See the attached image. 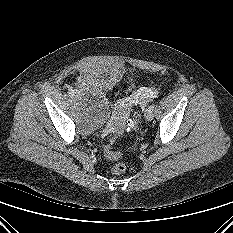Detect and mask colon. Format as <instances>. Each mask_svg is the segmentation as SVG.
I'll list each match as a JSON object with an SVG mask.
<instances>
[{"label":"colon","instance_id":"5ec220e1","mask_svg":"<svg viewBox=\"0 0 233 233\" xmlns=\"http://www.w3.org/2000/svg\"><path fill=\"white\" fill-rule=\"evenodd\" d=\"M137 122L138 114L134 113L133 118L128 123L129 129H133L136 126ZM104 156L108 160L116 161V163L111 168L113 174L120 175L126 171V165L123 162L119 161L121 159V153L114 151L110 145L105 147Z\"/></svg>","mask_w":233,"mask_h":233}]
</instances>
